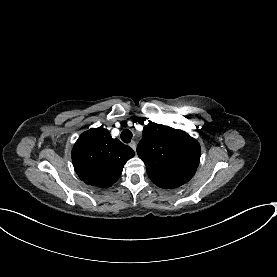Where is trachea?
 I'll return each mask as SVG.
<instances>
[{"instance_id":"3493384b","label":"trachea","mask_w":277,"mask_h":277,"mask_svg":"<svg viewBox=\"0 0 277 277\" xmlns=\"http://www.w3.org/2000/svg\"><path fill=\"white\" fill-rule=\"evenodd\" d=\"M132 132L129 130V129H124L122 132H121V140L124 142V143H130L131 142V139H132Z\"/></svg>"}]
</instances>
